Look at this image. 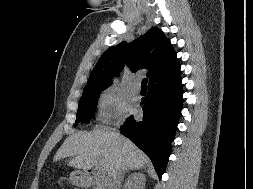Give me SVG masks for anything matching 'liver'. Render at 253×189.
<instances>
[{"mask_svg":"<svg viewBox=\"0 0 253 189\" xmlns=\"http://www.w3.org/2000/svg\"><path fill=\"white\" fill-rule=\"evenodd\" d=\"M73 157L71 167L84 171L99 165L108 176L117 169H139L148 157L129 139L114 131L78 132L66 138L54 161Z\"/></svg>","mask_w":253,"mask_h":189,"instance_id":"1","label":"liver"}]
</instances>
